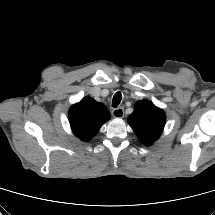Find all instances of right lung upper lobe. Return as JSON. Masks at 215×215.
Returning a JSON list of instances; mask_svg holds the SVG:
<instances>
[{"mask_svg":"<svg viewBox=\"0 0 215 215\" xmlns=\"http://www.w3.org/2000/svg\"><path fill=\"white\" fill-rule=\"evenodd\" d=\"M109 118L110 113L107 108L91 97L83 98L69 111V122L73 133L83 141L94 137Z\"/></svg>","mask_w":215,"mask_h":215,"instance_id":"obj_1","label":"right lung upper lobe"}]
</instances>
